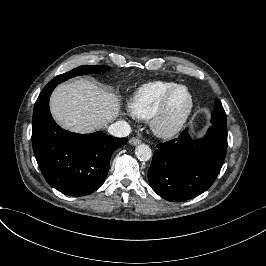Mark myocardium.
Here are the masks:
<instances>
[{
	"label": "myocardium",
	"mask_w": 266,
	"mask_h": 266,
	"mask_svg": "<svg viewBox=\"0 0 266 266\" xmlns=\"http://www.w3.org/2000/svg\"><path fill=\"white\" fill-rule=\"evenodd\" d=\"M184 88L189 94L190 97V108L183 118V120L176 126L172 128H165L162 125V120L167 113L169 104L174 97L175 93L180 89ZM196 109V99L192 89L186 84H178L176 87L171 89L161 100L157 108L154 110L150 117V129L152 133L163 139H172L178 136L188 125Z\"/></svg>",
	"instance_id": "f54148a6"
}]
</instances>
